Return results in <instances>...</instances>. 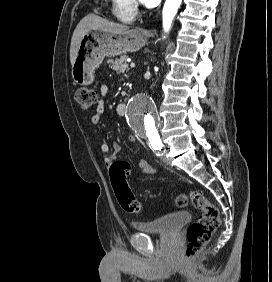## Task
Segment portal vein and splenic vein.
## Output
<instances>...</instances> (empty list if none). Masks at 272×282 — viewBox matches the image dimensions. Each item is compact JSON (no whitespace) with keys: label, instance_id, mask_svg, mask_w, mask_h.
<instances>
[{"label":"portal vein and splenic vein","instance_id":"portal-vein-and-splenic-vein-1","mask_svg":"<svg viewBox=\"0 0 272 282\" xmlns=\"http://www.w3.org/2000/svg\"><path fill=\"white\" fill-rule=\"evenodd\" d=\"M130 67L134 68L135 67V63H130Z\"/></svg>","mask_w":272,"mask_h":282}]
</instances>
